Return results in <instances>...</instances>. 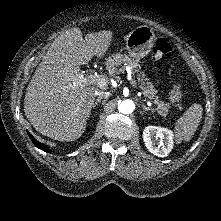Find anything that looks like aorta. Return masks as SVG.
Returning a JSON list of instances; mask_svg holds the SVG:
<instances>
[{
	"label": "aorta",
	"mask_w": 221,
	"mask_h": 221,
	"mask_svg": "<svg viewBox=\"0 0 221 221\" xmlns=\"http://www.w3.org/2000/svg\"><path fill=\"white\" fill-rule=\"evenodd\" d=\"M135 104L132 100L126 99L118 103V110L123 114H130L134 111Z\"/></svg>",
	"instance_id": "762f6f07"
}]
</instances>
